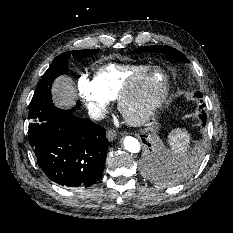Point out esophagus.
Listing matches in <instances>:
<instances>
[{
	"mask_svg": "<svg viewBox=\"0 0 233 233\" xmlns=\"http://www.w3.org/2000/svg\"><path fill=\"white\" fill-rule=\"evenodd\" d=\"M106 136L109 141H113L117 136V132L114 129H108L106 131Z\"/></svg>",
	"mask_w": 233,
	"mask_h": 233,
	"instance_id": "obj_1",
	"label": "esophagus"
}]
</instances>
